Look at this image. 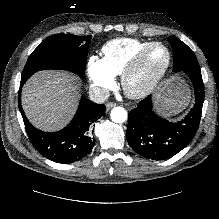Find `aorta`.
Instances as JSON below:
<instances>
[{"label":"aorta","mask_w":219,"mask_h":219,"mask_svg":"<svg viewBox=\"0 0 219 219\" xmlns=\"http://www.w3.org/2000/svg\"><path fill=\"white\" fill-rule=\"evenodd\" d=\"M111 120L115 123H124L128 118V113L123 107H115L110 112Z\"/></svg>","instance_id":"1"}]
</instances>
